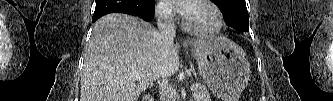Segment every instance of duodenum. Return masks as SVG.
<instances>
[{"label": "duodenum", "instance_id": "obj_1", "mask_svg": "<svg viewBox=\"0 0 333 101\" xmlns=\"http://www.w3.org/2000/svg\"><path fill=\"white\" fill-rule=\"evenodd\" d=\"M142 101H153V98L147 96L142 99Z\"/></svg>", "mask_w": 333, "mask_h": 101}]
</instances>
